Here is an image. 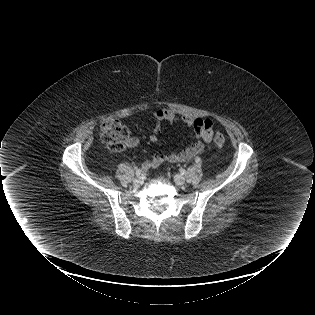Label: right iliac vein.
<instances>
[{
	"instance_id": "right-iliac-vein-1",
	"label": "right iliac vein",
	"mask_w": 315,
	"mask_h": 315,
	"mask_svg": "<svg viewBox=\"0 0 315 315\" xmlns=\"http://www.w3.org/2000/svg\"><path fill=\"white\" fill-rule=\"evenodd\" d=\"M133 184L135 186H141L143 184V178L142 177H136L134 180H133Z\"/></svg>"
}]
</instances>
